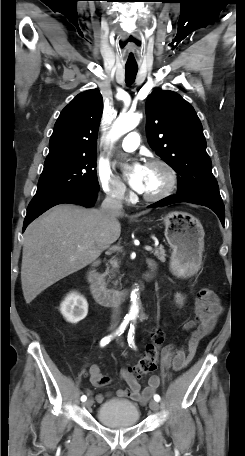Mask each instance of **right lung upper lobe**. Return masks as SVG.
Wrapping results in <instances>:
<instances>
[{
	"label": "right lung upper lobe",
	"instance_id": "obj_1",
	"mask_svg": "<svg viewBox=\"0 0 245 456\" xmlns=\"http://www.w3.org/2000/svg\"><path fill=\"white\" fill-rule=\"evenodd\" d=\"M102 111L103 100L98 89L78 94L62 110L55 123L45 164L95 155Z\"/></svg>",
	"mask_w": 245,
	"mask_h": 456
}]
</instances>
